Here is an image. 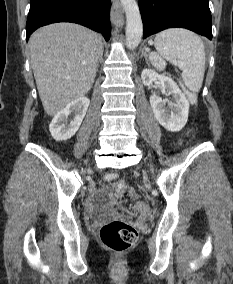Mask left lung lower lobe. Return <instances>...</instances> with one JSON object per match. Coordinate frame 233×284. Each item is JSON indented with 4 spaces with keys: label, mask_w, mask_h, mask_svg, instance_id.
<instances>
[{
    "label": "left lung lower lobe",
    "mask_w": 233,
    "mask_h": 284,
    "mask_svg": "<svg viewBox=\"0 0 233 284\" xmlns=\"http://www.w3.org/2000/svg\"><path fill=\"white\" fill-rule=\"evenodd\" d=\"M143 38L167 28H186L212 39L208 0H139Z\"/></svg>",
    "instance_id": "0a47b994"
}]
</instances>
